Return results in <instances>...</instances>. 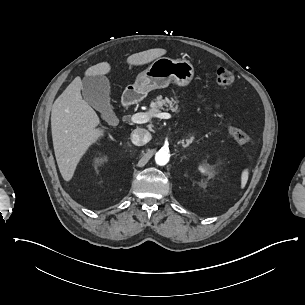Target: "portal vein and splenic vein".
I'll use <instances>...</instances> for the list:
<instances>
[{"label":"portal vein and splenic vein","instance_id":"1","mask_svg":"<svg viewBox=\"0 0 305 305\" xmlns=\"http://www.w3.org/2000/svg\"><path fill=\"white\" fill-rule=\"evenodd\" d=\"M152 116L160 118V119H170L171 118V114L165 113V112L157 113L154 115H150L149 113L140 112V113H136V114L132 115L131 121L133 123L143 124V123H147Z\"/></svg>","mask_w":305,"mask_h":305}]
</instances>
